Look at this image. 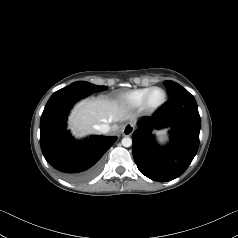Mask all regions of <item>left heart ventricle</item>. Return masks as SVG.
Returning <instances> with one entry per match:
<instances>
[{"mask_svg": "<svg viewBox=\"0 0 238 238\" xmlns=\"http://www.w3.org/2000/svg\"><path fill=\"white\" fill-rule=\"evenodd\" d=\"M163 99V93L160 90H156L153 92L150 98V102L152 105L159 104Z\"/></svg>", "mask_w": 238, "mask_h": 238, "instance_id": "1", "label": "left heart ventricle"}]
</instances>
